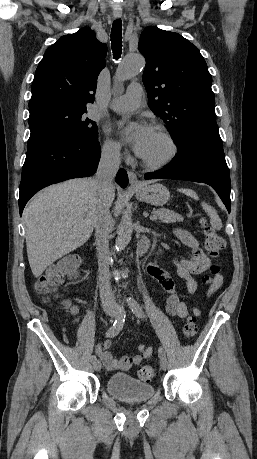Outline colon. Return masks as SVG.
<instances>
[{"mask_svg": "<svg viewBox=\"0 0 257 459\" xmlns=\"http://www.w3.org/2000/svg\"><path fill=\"white\" fill-rule=\"evenodd\" d=\"M201 224L205 236V248L211 256H217L224 248V240L209 226L205 219H202ZM77 266L78 260L76 258H70L54 267L49 268L35 283V291L41 295L45 301H50L56 297L57 288L63 278L74 273ZM218 271V266H214L211 270L213 274ZM203 281L209 282L210 275H206ZM197 331L198 327L196 318L189 317L183 326L184 337L187 339L192 338L197 334ZM137 375L140 379L148 381L154 377L155 370L149 365H144L138 369Z\"/></svg>", "mask_w": 257, "mask_h": 459, "instance_id": "obj_1", "label": "colon"}]
</instances>
